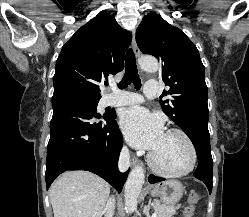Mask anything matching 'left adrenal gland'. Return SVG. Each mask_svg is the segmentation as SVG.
Returning a JSON list of instances; mask_svg holds the SVG:
<instances>
[{"mask_svg":"<svg viewBox=\"0 0 249 217\" xmlns=\"http://www.w3.org/2000/svg\"><path fill=\"white\" fill-rule=\"evenodd\" d=\"M149 211H150V201L148 205L144 206V209H143V213L146 215V217H150Z\"/></svg>","mask_w":249,"mask_h":217,"instance_id":"1","label":"left adrenal gland"}]
</instances>
